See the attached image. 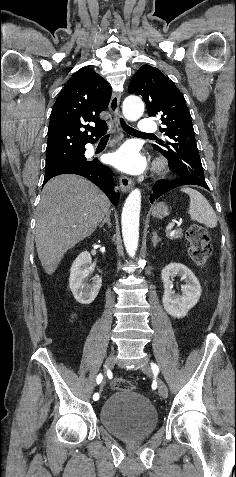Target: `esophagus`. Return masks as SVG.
Returning a JSON list of instances; mask_svg holds the SVG:
<instances>
[{
    "instance_id": "esophagus-1",
    "label": "esophagus",
    "mask_w": 236,
    "mask_h": 477,
    "mask_svg": "<svg viewBox=\"0 0 236 477\" xmlns=\"http://www.w3.org/2000/svg\"><path fill=\"white\" fill-rule=\"evenodd\" d=\"M120 98H121L120 93H113L109 103V110L113 116V121L115 123L117 130H120V127H119ZM119 183H120V189L122 192H128L133 187V181L126 176H121L119 178Z\"/></svg>"
}]
</instances>
